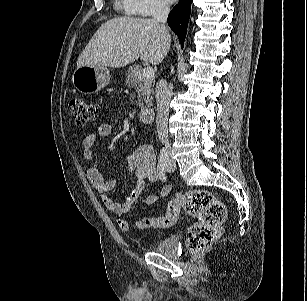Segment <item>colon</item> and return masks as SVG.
I'll return each instance as SVG.
<instances>
[{"instance_id":"1","label":"colon","mask_w":307,"mask_h":301,"mask_svg":"<svg viewBox=\"0 0 307 301\" xmlns=\"http://www.w3.org/2000/svg\"><path fill=\"white\" fill-rule=\"evenodd\" d=\"M69 107L79 126L96 120L98 116L97 106L83 98L72 99ZM181 211L197 219L188 229L187 247L192 252L207 250L220 237L221 226L226 219L224 204L207 190L177 193L168 202L165 215L144 217L137 222V226L140 229L170 227L177 221Z\"/></svg>"}]
</instances>
